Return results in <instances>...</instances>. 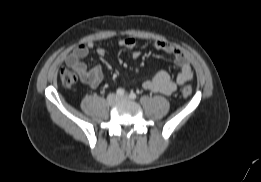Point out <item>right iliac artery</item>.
Masks as SVG:
<instances>
[{
  "label": "right iliac artery",
  "mask_w": 261,
  "mask_h": 182,
  "mask_svg": "<svg viewBox=\"0 0 261 182\" xmlns=\"http://www.w3.org/2000/svg\"><path fill=\"white\" fill-rule=\"evenodd\" d=\"M125 94V90L124 89H122V88H118L117 90H116V95L117 96H123Z\"/></svg>",
  "instance_id": "obj_1"
}]
</instances>
